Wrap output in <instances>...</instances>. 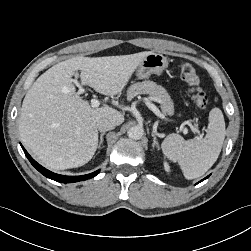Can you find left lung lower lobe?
Listing matches in <instances>:
<instances>
[{
	"label": "left lung lower lobe",
	"instance_id": "obj_1",
	"mask_svg": "<svg viewBox=\"0 0 251 251\" xmlns=\"http://www.w3.org/2000/svg\"><path fill=\"white\" fill-rule=\"evenodd\" d=\"M208 177H209V176H207L206 178H208ZM206 178H204V179H206ZM204 179H203V180H204ZM203 180H202V181H203ZM200 182H201V181H200Z\"/></svg>",
	"mask_w": 251,
	"mask_h": 251
}]
</instances>
